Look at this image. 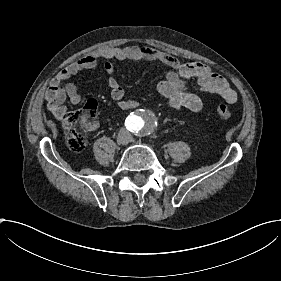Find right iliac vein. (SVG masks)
Segmentation results:
<instances>
[{"label":"right iliac vein","mask_w":281,"mask_h":281,"mask_svg":"<svg viewBox=\"0 0 281 281\" xmlns=\"http://www.w3.org/2000/svg\"><path fill=\"white\" fill-rule=\"evenodd\" d=\"M129 135L127 133H120L119 135H117L116 137V142L119 145H124L127 144L129 142Z\"/></svg>","instance_id":"right-iliac-vein-1"}]
</instances>
